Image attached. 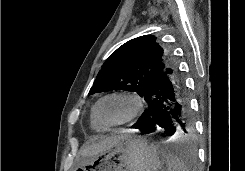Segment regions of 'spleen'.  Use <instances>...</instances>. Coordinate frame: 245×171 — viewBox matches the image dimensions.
I'll list each match as a JSON object with an SVG mask.
<instances>
[{
    "label": "spleen",
    "instance_id": "1",
    "mask_svg": "<svg viewBox=\"0 0 245 171\" xmlns=\"http://www.w3.org/2000/svg\"><path fill=\"white\" fill-rule=\"evenodd\" d=\"M165 158L167 171H189L185 163L176 155L162 151Z\"/></svg>",
    "mask_w": 245,
    "mask_h": 171
}]
</instances>
